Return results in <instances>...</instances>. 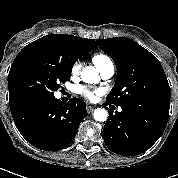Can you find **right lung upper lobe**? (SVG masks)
I'll return each instance as SVG.
<instances>
[{
  "mask_svg": "<svg viewBox=\"0 0 178 178\" xmlns=\"http://www.w3.org/2000/svg\"><path fill=\"white\" fill-rule=\"evenodd\" d=\"M93 39L81 38L65 34H49L27 46L22 50L32 48H45L60 53L72 62H76L81 56L97 48Z\"/></svg>",
  "mask_w": 178,
  "mask_h": 178,
  "instance_id": "right-lung-upper-lobe-1",
  "label": "right lung upper lobe"
}]
</instances>
